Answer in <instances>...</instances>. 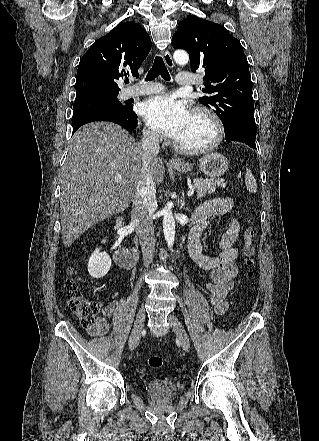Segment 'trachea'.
Instances as JSON below:
<instances>
[{"instance_id":"trachea-1","label":"trachea","mask_w":319,"mask_h":441,"mask_svg":"<svg viewBox=\"0 0 319 441\" xmlns=\"http://www.w3.org/2000/svg\"><path fill=\"white\" fill-rule=\"evenodd\" d=\"M161 75V77L167 81L170 80L169 72L166 65L160 56H156L153 62L152 68L147 74L146 81L154 80L156 77ZM129 81H127L128 83Z\"/></svg>"}]
</instances>
